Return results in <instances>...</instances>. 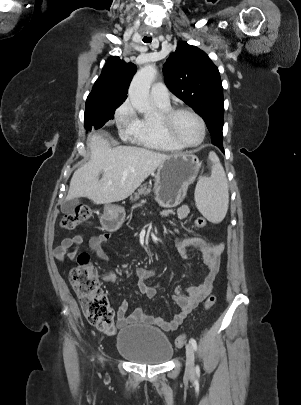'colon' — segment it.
<instances>
[{
	"instance_id": "colon-1",
	"label": "colon",
	"mask_w": 301,
	"mask_h": 405,
	"mask_svg": "<svg viewBox=\"0 0 301 405\" xmlns=\"http://www.w3.org/2000/svg\"><path fill=\"white\" fill-rule=\"evenodd\" d=\"M91 215V209L87 205H80L73 211L66 213L61 219V226L67 230H73L85 222ZM194 224L197 228H204L207 221L198 217ZM70 282L80 298L81 307L87 321L107 333L114 330L113 312L109 301L100 287L97 272L90 263L87 253H80L76 257V264L70 270ZM216 296L210 295L204 302L205 309H210L216 303ZM186 335H180L175 339V345L182 347L186 343Z\"/></svg>"
}]
</instances>
